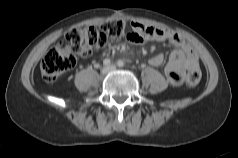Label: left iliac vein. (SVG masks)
Here are the masks:
<instances>
[{
  "mask_svg": "<svg viewBox=\"0 0 238 158\" xmlns=\"http://www.w3.org/2000/svg\"><path fill=\"white\" fill-rule=\"evenodd\" d=\"M116 69V66L115 65H111L110 67H109V70H111V71H113V70H115Z\"/></svg>",
  "mask_w": 238,
  "mask_h": 158,
  "instance_id": "obj_1",
  "label": "left iliac vein"
}]
</instances>
